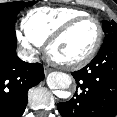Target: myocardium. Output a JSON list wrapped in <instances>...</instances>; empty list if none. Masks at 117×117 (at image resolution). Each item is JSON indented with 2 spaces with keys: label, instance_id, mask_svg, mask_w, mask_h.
I'll return each mask as SVG.
<instances>
[{
  "label": "myocardium",
  "instance_id": "f54148a6",
  "mask_svg": "<svg viewBox=\"0 0 117 117\" xmlns=\"http://www.w3.org/2000/svg\"><path fill=\"white\" fill-rule=\"evenodd\" d=\"M86 20H92L96 23L97 29H98V34L97 38L95 41V44L92 48V50L83 58L76 60V61H59L56 58H54L51 54V49L52 47L61 39H63L75 26L80 24L83 21ZM103 36H104V31H103V26L101 22L94 16L91 15H86V16H80L77 18H74L67 23H65L61 28H59L57 31H55L46 41L45 44V52L47 55V59L49 60L50 63H52L54 66H57L61 69L64 70H76L80 69L86 65H88L98 54L102 42H103Z\"/></svg>",
  "mask_w": 117,
  "mask_h": 117
}]
</instances>
